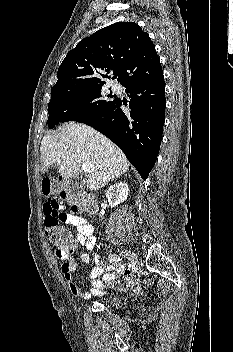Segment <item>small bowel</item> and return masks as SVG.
<instances>
[{"label": "small bowel", "mask_w": 233, "mask_h": 352, "mask_svg": "<svg viewBox=\"0 0 233 352\" xmlns=\"http://www.w3.org/2000/svg\"><path fill=\"white\" fill-rule=\"evenodd\" d=\"M42 193L46 198L42 206L45 224H67L73 226L77 230V244L71 251H55L57 257L62 260V272L70 292L73 296L82 300H88L91 297L102 295L106 285L116 284L117 278L122 273V270L113 272L116 269L115 266L107 265L98 254L92 253L90 255L83 253L81 255V260L84 263H90V261L93 260L95 267L90 274L92 279L90 290L86 292L82 291L73 278V273L76 268L73 254L80 248H85L88 251L94 249L96 244L94 228L87 219L66 212L67 207L59 204L56 194L61 196L63 194L60 191V184L50 180L44 181L42 183ZM106 271H109L110 273H105Z\"/></svg>", "instance_id": "obj_1"}]
</instances>
